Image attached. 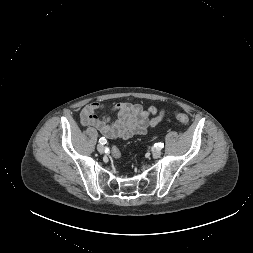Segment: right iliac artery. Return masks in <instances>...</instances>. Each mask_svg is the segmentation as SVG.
Returning <instances> with one entry per match:
<instances>
[{
	"instance_id": "82829eb1",
	"label": "right iliac artery",
	"mask_w": 253,
	"mask_h": 253,
	"mask_svg": "<svg viewBox=\"0 0 253 253\" xmlns=\"http://www.w3.org/2000/svg\"><path fill=\"white\" fill-rule=\"evenodd\" d=\"M99 142H100V144L104 145V144H106L107 140L104 137H102L99 139Z\"/></svg>"
}]
</instances>
